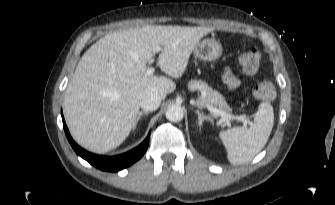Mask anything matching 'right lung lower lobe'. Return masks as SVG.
Segmentation results:
<instances>
[{
	"mask_svg": "<svg viewBox=\"0 0 335 205\" xmlns=\"http://www.w3.org/2000/svg\"><path fill=\"white\" fill-rule=\"evenodd\" d=\"M62 120H63V128L65 131L66 137L69 143L71 144V146L73 147V149L75 150V152L79 156L87 160L91 165L103 171L116 172V171H119L123 168H126L132 165L134 162L139 160L144 155V153L147 150L148 144H149L150 133L138 147H136L135 149L127 153L117 155V156H112V157L95 155V154L85 151L73 141L68 131V128L65 124L63 114H62Z\"/></svg>",
	"mask_w": 335,
	"mask_h": 205,
	"instance_id": "obj_1",
	"label": "right lung lower lobe"
}]
</instances>
